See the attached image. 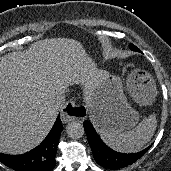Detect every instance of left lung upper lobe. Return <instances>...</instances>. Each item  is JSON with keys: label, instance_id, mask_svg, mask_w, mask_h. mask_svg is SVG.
<instances>
[{"label": "left lung upper lobe", "instance_id": "left-lung-upper-lobe-1", "mask_svg": "<svg viewBox=\"0 0 171 171\" xmlns=\"http://www.w3.org/2000/svg\"><path fill=\"white\" fill-rule=\"evenodd\" d=\"M130 49L133 51H139V49L135 47L133 44H130Z\"/></svg>", "mask_w": 171, "mask_h": 171}]
</instances>
